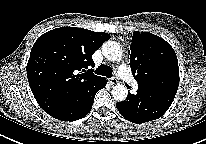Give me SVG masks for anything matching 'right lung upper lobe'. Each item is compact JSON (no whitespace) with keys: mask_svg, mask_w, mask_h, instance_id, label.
<instances>
[{"mask_svg":"<svg viewBox=\"0 0 206 144\" xmlns=\"http://www.w3.org/2000/svg\"><path fill=\"white\" fill-rule=\"evenodd\" d=\"M110 39L105 32L61 27L34 43L27 77L39 106L48 114L72 103L102 77L94 75L93 53Z\"/></svg>","mask_w":206,"mask_h":144,"instance_id":"right-lung-upper-lobe-1","label":"right lung upper lobe"}]
</instances>
